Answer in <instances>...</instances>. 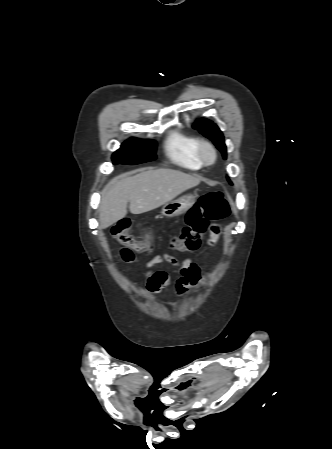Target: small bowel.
I'll return each instance as SVG.
<instances>
[{"label": "small bowel", "mask_w": 332, "mask_h": 449, "mask_svg": "<svg viewBox=\"0 0 332 449\" xmlns=\"http://www.w3.org/2000/svg\"><path fill=\"white\" fill-rule=\"evenodd\" d=\"M217 230L211 231L210 237L208 239V243L210 246L214 245L218 239L219 228ZM202 255L208 256L209 252L206 251ZM200 255H197L194 258H187L183 261L177 260L174 256L163 253L155 256L153 259L149 260L146 263L147 271L144 275V283L146 285L147 290L152 294H157L161 292L163 289L168 288L172 285V282L164 270H154L153 267L167 262L170 263L180 270L181 277L175 283V290L178 295H185L192 287L198 284L202 279L203 275L201 269L196 263V259L199 258Z\"/></svg>", "instance_id": "obj_1"}]
</instances>
